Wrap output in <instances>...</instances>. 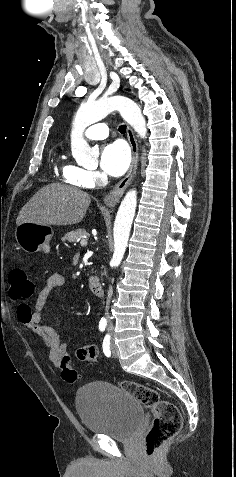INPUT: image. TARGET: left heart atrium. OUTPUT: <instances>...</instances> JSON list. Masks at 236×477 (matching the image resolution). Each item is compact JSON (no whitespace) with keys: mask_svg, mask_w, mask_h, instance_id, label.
I'll return each mask as SVG.
<instances>
[{"mask_svg":"<svg viewBox=\"0 0 236 477\" xmlns=\"http://www.w3.org/2000/svg\"><path fill=\"white\" fill-rule=\"evenodd\" d=\"M130 161L128 147L122 142H114L103 148L100 165L108 175L119 177L126 172Z\"/></svg>","mask_w":236,"mask_h":477,"instance_id":"39dd6f15","label":"left heart atrium"}]
</instances>
